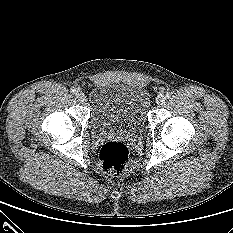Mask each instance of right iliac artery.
Here are the masks:
<instances>
[{
    "label": "right iliac artery",
    "mask_w": 233,
    "mask_h": 233,
    "mask_svg": "<svg viewBox=\"0 0 233 233\" xmlns=\"http://www.w3.org/2000/svg\"><path fill=\"white\" fill-rule=\"evenodd\" d=\"M70 92H71L72 94H76L77 91H76L75 88H71Z\"/></svg>",
    "instance_id": "right-iliac-artery-1"
}]
</instances>
